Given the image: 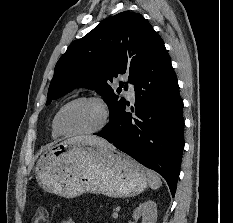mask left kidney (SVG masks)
Masks as SVG:
<instances>
[{"label":"left kidney","instance_id":"obj_1","mask_svg":"<svg viewBox=\"0 0 233 223\" xmlns=\"http://www.w3.org/2000/svg\"><path fill=\"white\" fill-rule=\"evenodd\" d=\"M135 221H131V223H136L139 217H143L142 223H156L157 221V203L152 201V199H148V201H144V203H140L139 207H136L133 211L132 215Z\"/></svg>","mask_w":233,"mask_h":223}]
</instances>
